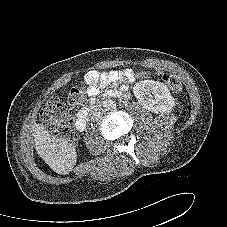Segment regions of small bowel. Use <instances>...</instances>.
I'll use <instances>...</instances> for the list:
<instances>
[{
    "mask_svg": "<svg viewBox=\"0 0 227 227\" xmlns=\"http://www.w3.org/2000/svg\"><path fill=\"white\" fill-rule=\"evenodd\" d=\"M144 72H135L131 69L115 70L110 72H98L90 70L85 73L84 79L87 84V94L94 97L98 94L100 87L110 83H121L124 88L127 82L133 81L135 78L143 77Z\"/></svg>",
    "mask_w": 227,
    "mask_h": 227,
    "instance_id": "c3829d8e",
    "label": "small bowel"
}]
</instances>
